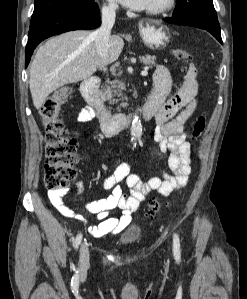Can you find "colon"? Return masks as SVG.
<instances>
[{
    "mask_svg": "<svg viewBox=\"0 0 247 299\" xmlns=\"http://www.w3.org/2000/svg\"><path fill=\"white\" fill-rule=\"evenodd\" d=\"M173 56L182 63H187L190 59V53L184 49L173 50ZM187 72L191 75L196 74L190 67ZM70 95V88H62L50 95L41 107L46 142L45 184L53 192L64 190L77 174L74 166L77 158V142L67 134L59 119L60 109ZM205 128L206 118L201 115L194 123L192 140L199 138ZM147 208L149 215L154 217L160 210V204L156 200H149Z\"/></svg>",
    "mask_w": 247,
    "mask_h": 299,
    "instance_id": "obj_1",
    "label": "colon"
}]
</instances>
